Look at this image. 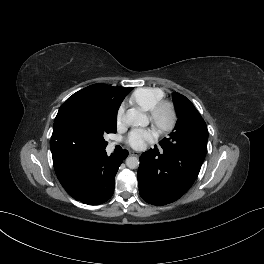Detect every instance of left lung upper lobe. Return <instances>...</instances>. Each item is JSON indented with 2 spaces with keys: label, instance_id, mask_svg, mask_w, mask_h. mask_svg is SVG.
I'll use <instances>...</instances> for the list:
<instances>
[{
  "label": "left lung upper lobe",
  "instance_id": "5c2ea615",
  "mask_svg": "<svg viewBox=\"0 0 264 264\" xmlns=\"http://www.w3.org/2000/svg\"><path fill=\"white\" fill-rule=\"evenodd\" d=\"M172 97L178 120L170 136L160 141L161 148L171 150L191 143L207 142L206 123L193 103L177 92H174Z\"/></svg>",
  "mask_w": 264,
  "mask_h": 264
}]
</instances>
